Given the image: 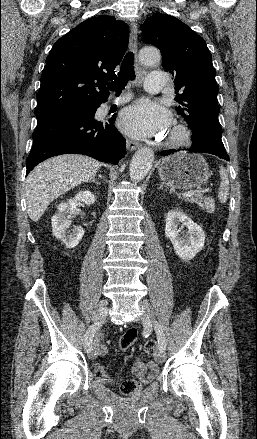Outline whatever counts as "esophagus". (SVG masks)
<instances>
[{
	"mask_svg": "<svg viewBox=\"0 0 257 439\" xmlns=\"http://www.w3.org/2000/svg\"><path fill=\"white\" fill-rule=\"evenodd\" d=\"M130 48L137 55L138 51V37H137V24L135 21L131 23V32H130ZM141 147V143L137 141L128 140L127 148L130 151H134Z\"/></svg>",
	"mask_w": 257,
	"mask_h": 439,
	"instance_id": "obj_1",
	"label": "esophagus"
}]
</instances>
